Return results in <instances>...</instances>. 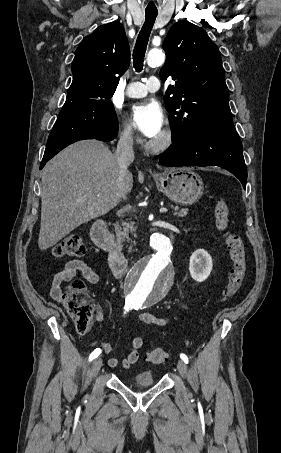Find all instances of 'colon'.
Segmentation results:
<instances>
[{
    "label": "colon",
    "instance_id": "5ec220e1",
    "mask_svg": "<svg viewBox=\"0 0 281 453\" xmlns=\"http://www.w3.org/2000/svg\"><path fill=\"white\" fill-rule=\"evenodd\" d=\"M214 210V228L224 234V242L232 261L230 280L219 300L220 303L225 304L232 300L243 287L247 270V253L241 237L229 231V203L226 186L224 185L217 187ZM51 250L53 255L59 259L87 256V247L78 238L60 240L52 245ZM85 286V281L78 279L74 287L65 296L66 307L70 313L77 317L79 330H88L91 324L89 308L78 301L79 296L85 290ZM146 355L152 363H165L167 361L166 352L162 349H149Z\"/></svg>",
    "mask_w": 281,
    "mask_h": 453
}]
</instances>
